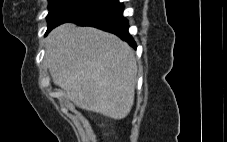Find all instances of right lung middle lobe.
<instances>
[{
    "label": "right lung middle lobe",
    "instance_id": "obj_1",
    "mask_svg": "<svg viewBox=\"0 0 227 142\" xmlns=\"http://www.w3.org/2000/svg\"><path fill=\"white\" fill-rule=\"evenodd\" d=\"M114 0H49L48 31L71 19L110 5Z\"/></svg>",
    "mask_w": 227,
    "mask_h": 142
}]
</instances>
